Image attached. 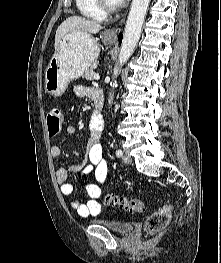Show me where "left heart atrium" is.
<instances>
[{
	"instance_id": "39dd6f15",
	"label": "left heart atrium",
	"mask_w": 221,
	"mask_h": 263,
	"mask_svg": "<svg viewBox=\"0 0 221 263\" xmlns=\"http://www.w3.org/2000/svg\"><path fill=\"white\" fill-rule=\"evenodd\" d=\"M124 0H113L114 4L119 5L123 2Z\"/></svg>"
}]
</instances>
